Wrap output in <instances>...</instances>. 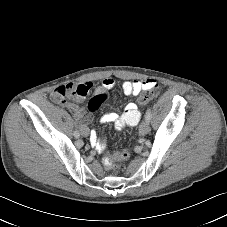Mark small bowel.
<instances>
[{
	"instance_id": "obj_1",
	"label": "small bowel",
	"mask_w": 227,
	"mask_h": 227,
	"mask_svg": "<svg viewBox=\"0 0 227 227\" xmlns=\"http://www.w3.org/2000/svg\"><path fill=\"white\" fill-rule=\"evenodd\" d=\"M154 81L151 79H147L144 81H125L122 84V90L126 95H138L142 91H146L153 85ZM74 86L80 87L78 92L69 95L68 97L56 99L55 98V91L52 93V98L55 102L59 103L60 105L68 108L69 110L74 112L76 119L78 120L81 128V132L83 133L84 130H88L87 124L91 121V115L81 109L77 103L82 102L87 94L89 93L92 83L85 82L81 84H73ZM115 85L114 79L107 77L103 79L101 86L98 88L97 92L107 94L108 90L112 89ZM67 98L72 99L74 102L69 101ZM141 118V113L138 110L137 106L134 103H129L126 105L125 110L123 113L117 112H109L104 114L100 118V123H114L117 129H121L125 126H135L138 124ZM90 142L91 145L99 152V153H106L107 146L105 142L100 141L97 137L95 131L90 132Z\"/></svg>"
}]
</instances>
